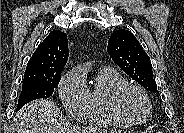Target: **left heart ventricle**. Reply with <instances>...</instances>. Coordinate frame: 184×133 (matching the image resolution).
<instances>
[{"instance_id":"left-heart-ventricle-1","label":"left heart ventricle","mask_w":184,"mask_h":133,"mask_svg":"<svg viewBox=\"0 0 184 133\" xmlns=\"http://www.w3.org/2000/svg\"><path fill=\"white\" fill-rule=\"evenodd\" d=\"M125 112L132 118H142L147 112L143 97L136 91L128 92L123 99Z\"/></svg>"}]
</instances>
